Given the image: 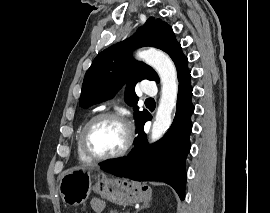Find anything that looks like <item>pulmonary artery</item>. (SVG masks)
<instances>
[{"label":"pulmonary artery","instance_id":"1","mask_svg":"<svg viewBox=\"0 0 270 213\" xmlns=\"http://www.w3.org/2000/svg\"><path fill=\"white\" fill-rule=\"evenodd\" d=\"M143 94L148 96H154L157 94V86L154 82L146 81L143 83Z\"/></svg>","mask_w":270,"mask_h":213}]
</instances>
